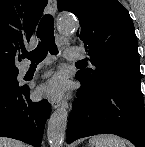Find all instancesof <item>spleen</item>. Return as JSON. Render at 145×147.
<instances>
[{
  "mask_svg": "<svg viewBox=\"0 0 145 147\" xmlns=\"http://www.w3.org/2000/svg\"><path fill=\"white\" fill-rule=\"evenodd\" d=\"M91 147H126L124 141L114 135H97L90 139Z\"/></svg>",
  "mask_w": 145,
  "mask_h": 147,
  "instance_id": "spleen-1",
  "label": "spleen"
}]
</instances>
